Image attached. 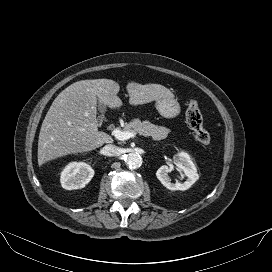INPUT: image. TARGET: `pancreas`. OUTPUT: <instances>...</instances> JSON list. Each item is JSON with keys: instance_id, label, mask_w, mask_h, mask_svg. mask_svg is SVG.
I'll list each match as a JSON object with an SVG mask.
<instances>
[{"instance_id": "obj_1", "label": "pancreas", "mask_w": 272, "mask_h": 272, "mask_svg": "<svg viewBox=\"0 0 272 272\" xmlns=\"http://www.w3.org/2000/svg\"><path fill=\"white\" fill-rule=\"evenodd\" d=\"M124 131L139 133L144 136H151L153 140L165 139L170 133V129L150 123L149 121L141 122L139 119H134L129 124H126Z\"/></svg>"}]
</instances>
